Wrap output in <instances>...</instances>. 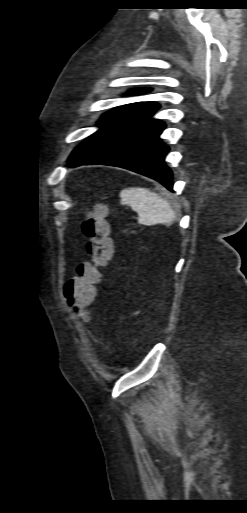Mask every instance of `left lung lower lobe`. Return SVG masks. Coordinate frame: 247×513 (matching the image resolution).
Wrapping results in <instances>:
<instances>
[{
	"label": "left lung lower lobe",
	"mask_w": 247,
	"mask_h": 513,
	"mask_svg": "<svg viewBox=\"0 0 247 513\" xmlns=\"http://www.w3.org/2000/svg\"><path fill=\"white\" fill-rule=\"evenodd\" d=\"M159 105L139 102L118 107L99 120V131L71 154L68 166H118L150 177L173 191L172 172L164 158L169 148L159 135L165 124L152 115Z\"/></svg>",
	"instance_id": "0a47b994"
}]
</instances>
